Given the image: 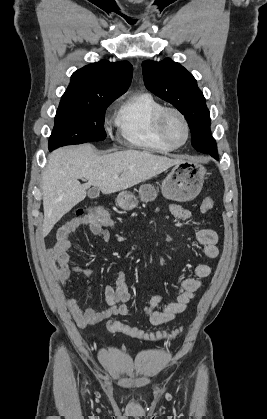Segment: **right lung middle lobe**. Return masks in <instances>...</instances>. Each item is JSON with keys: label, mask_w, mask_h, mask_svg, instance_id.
<instances>
[{"label": "right lung middle lobe", "mask_w": 267, "mask_h": 419, "mask_svg": "<svg viewBox=\"0 0 267 419\" xmlns=\"http://www.w3.org/2000/svg\"><path fill=\"white\" fill-rule=\"evenodd\" d=\"M118 97L62 98L49 138V150L69 144L104 140L105 110Z\"/></svg>", "instance_id": "obj_1"}]
</instances>
